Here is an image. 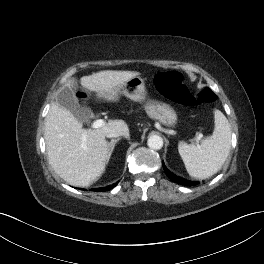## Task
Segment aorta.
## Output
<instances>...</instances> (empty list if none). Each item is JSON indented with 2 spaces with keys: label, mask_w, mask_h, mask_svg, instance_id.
Instances as JSON below:
<instances>
[{
  "label": "aorta",
  "mask_w": 264,
  "mask_h": 264,
  "mask_svg": "<svg viewBox=\"0 0 264 264\" xmlns=\"http://www.w3.org/2000/svg\"><path fill=\"white\" fill-rule=\"evenodd\" d=\"M147 144L153 150H160L163 147V139L158 135H151L148 138Z\"/></svg>",
  "instance_id": "762f6f07"
}]
</instances>
